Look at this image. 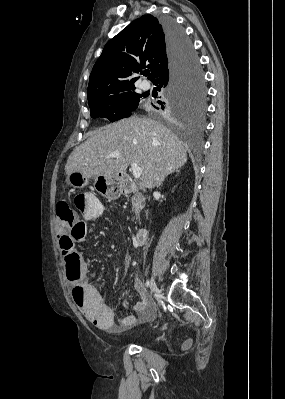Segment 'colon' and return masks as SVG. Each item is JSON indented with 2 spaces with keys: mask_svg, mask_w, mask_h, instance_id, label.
I'll list each match as a JSON object with an SVG mask.
<instances>
[{
  "mask_svg": "<svg viewBox=\"0 0 285 399\" xmlns=\"http://www.w3.org/2000/svg\"><path fill=\"white\" fill-rule=\"evenodd\" d=\"M87 203V194H78L74 197L72 204L61 202L57 205V215L59 218L58 229L60 233V247L64 260L71 263L77 258L75 251L76 244L80 242L85 233L82 230L81 223L77 220L76 210L83 209ZM77 272L68 273V282L76 291V300L81 301L84 290L82 284L78 281Z\"/></svg>",
  "mask_w": 285,
  "mask_h": 399,
  "instance_id": "5ec220e1",
  "label": "colon"
}]
</instances>
